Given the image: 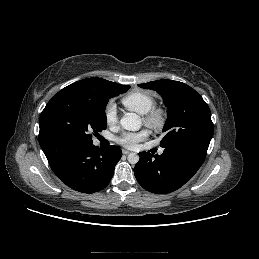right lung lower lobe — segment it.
I'll return each mask as SVG.
<instances>
[{
  "mask_svg": "<svg viewBox=\"0 0 259 259\" xmlns=\"http://www.w3.org/2000/svg\"><path fill=\"white\" fill-rule=\"evenodd\" d=\"M44 153L58 178L82 193H95L104 189L122 156L117 146L111 145L101 150L92 142H61Z\"/></svg>",
  "mask_w": 259,
  "mask_h": 259,
  "instance_id": "98d812e1",
  "label": "right lung lower lobe"
}]
</instances>
